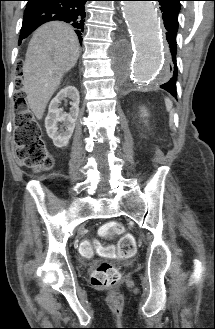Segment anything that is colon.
I'll use <instances>...</instances> for the list:
<instances>
[{
  "label": "colon",
  "instance_id": "1",
  "mask_svg": "<svg viewBox=\"0 0 215 329\" xmlns=\"http://www.w3.org/2000/svg\"><path fill=\"white\" fill-rule=\"evenodd\" d=\"M17 61H22V56H17ZM14 73H24V66H14ZM15 133L16 158L24 165L36 170H48L53 165V157L46 149L41 137V128L28 108L24 98H17L15 102ZM100 235L111 238L120 235L117 249L113 246H102L98 242L85 241L80 246V251L85 255L92 253L93 246L103 256L116 259H127L136 252V240L132 235L123 234L122 226L117 222L105 223L100 228ZM120 271L115 261L101 262L91 276L95 287L110 288L118 284Z\"/></svg>",
  "mask_w": 215,
  "mask_h": 329
}]
</instances>
